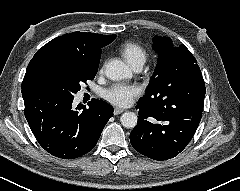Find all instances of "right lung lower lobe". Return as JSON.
Masks as SVG:
<instances>
[{"mask_svg":"<svg viewBox=\"0 0 240 191\" xmlns=\"http://www.w3.org/2000/svg\"><path fill=\"white\" fill-rule=\"evenodd\" d=\"M25 117L38 143L51 155L75 159L93 149L113 116V108L93 99L89 108H72V98L45 92H23Z\"/></svg>","mask_w":240,"mask_h":191,"instance_id":"right-lung-lower-lobe-1","label":"right lung lower lobe"}]
</instances>
